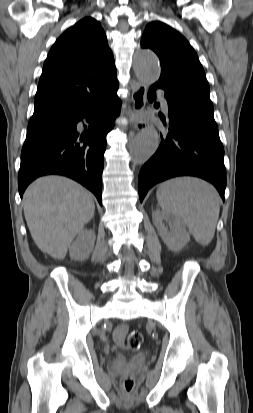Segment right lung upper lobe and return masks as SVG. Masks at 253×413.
<instances>
[{"label":"right lung upper lobe","mask_w":253,"mask_h":413,"mask_svg":"<svg viewBox=\"0 0 253 413\" xmlns=\"http://www.w3.org/2000/svg\"><path fill=\"white\" fill-rule=\"evenodd\" d=\"M116 75L113 54L100 23L86 17L65 31L44 63L32 117L63 113L95 97Z\"/></svg>","instance_id":"obj_1"}]
</instances>
